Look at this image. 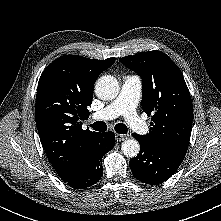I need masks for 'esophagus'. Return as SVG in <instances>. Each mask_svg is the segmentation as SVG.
<instances>
[{"instance_id":"34e87169","label":"esophagus","mask_w":221,"mask_h":221,"mask_svg":"<svg viewBox=\"0 0 221 221\" xmlns=\"http://www.w3.org/2000/svg\"><path fill=\"white\" fill-rule=\"evenodd\" d=\"M115 137H116L117 142L123 141L127 138L126 135H122V134H115Z\"/></svg>"}]
</instances>
